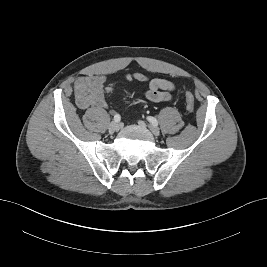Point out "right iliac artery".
I'll return each mask as SVG.
<instances>
[{
	"mask_svg": "<svg viewBox=\"0 0 267 267\" xmlns=\"http://www.w3.org/2000/svg\"><path fill=\"white\" fill-rule=\"evenodd\" d=\"M120 119H121V117H120L119 114H115V115H114V121H115V122H119Z\"/></svg>",
	"mask_w": 267,
	"mask_h": 267,
	"instance_id": "right-iliac-artery-1",
	"label": "right iliac artery"
}]
</instances>
